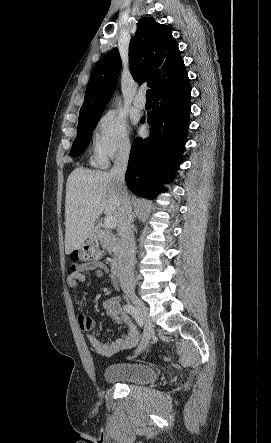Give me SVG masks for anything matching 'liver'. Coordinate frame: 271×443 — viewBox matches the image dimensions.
<instances>
[{
	"instance_id": "1",
	"label": "liver",
	"mask_w": 271,
	"mask_h": 443,
	"mask_svg": "<svg viewBox=\"0 0 271 443\" xmlns=\"http://www.w3.org/2000/svg\"><path fill=\"white\" fill-rule=\"evenodd\" d=\"M121 194L107 172L75 168L68 176L65 198V253L77 249L94 231L100 214L121 218Z\"/></svg>"
}]
</instances>
